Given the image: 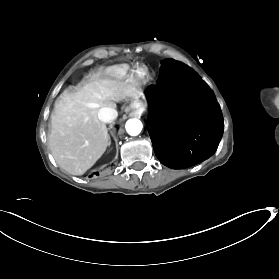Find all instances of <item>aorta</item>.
Instances as JSON below:
<instances>
[{"mask_svg":"<svg viewBox=\"0 0 279 279\" xmlns=\"http://www.w3.org/2000/svg\"><path fill=\"white\" fill-rule=\"evenodd\" d=\"M126 131L131 136L138 135L143 128L142 122L139 119H129L125 125Z\"/></svg>","mask_w":279,"mask_h":279,"instance_id":"aorta-1","label":"aorta"}]
</instances>
